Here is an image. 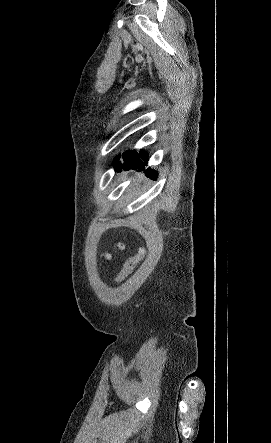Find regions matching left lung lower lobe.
<instances>
[{
	"mask_svg": "<svg viewBox=\"0 0 271 443\" xmlns=\"http://www.w3.org/2000/svg\"><path fill=\"white\" fill-rule=\"evenodd\" d=\"M120 155L116 158L114 167L117 170V172H121L122 170H129V169H138V171H141L144 169V165H147L148 161V155L143 150H140V153L138 154L136 150L133 151H126L122 154V158L124 160L123 163L119 162ZM145 173L148 177L152 179H156L157 172L154 170L147 169L145 170Z\"/></svg>",
	"mask_w": 271,
	"mask_h": 443,
	"instance_id": "0a47b994",
	"label": "left lung lower lobe"
}]
</instances>
